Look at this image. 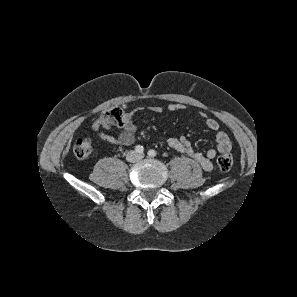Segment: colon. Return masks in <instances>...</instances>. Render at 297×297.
<instances>
[{
	"label": "colon",
	"mask_w": 297,
	"mask_h": 297,
	"mask_svg": "<svg viewBox=\"0 0 297 297\" xmlns=\"http://www.w3.org/2000/svg\"><path fill=\"white\" fill-rule=\"evenodd\" d=\"M125 113L119 107H112L104 111L100 121L107 125L122 126L125 121ZM92 152V142L88 138L78 139L73 146V153L79 159L87 158ZM221 171L227 172L233 166V157L229 152L222 153L217 159Z\"/></svg>",
	"instance_id": "obj_1"
}]
</instances>
